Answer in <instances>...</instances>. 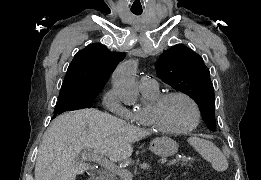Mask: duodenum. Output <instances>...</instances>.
<instances>
[{
  "mask_svg": "<svg viewBox=\"0 0 261 180\" xmlns=\"http://www.w3.org/2000/svg\"><path fill=\"white\" fill-rule=\"evenodd\" d=\"M89 180H104V177H89Z\"/></svg>",
  "mask_w": 261,
  "mask_h": 180,
  "instance_id": "410a0bca",
  "label": "duodenum"
}]
</instances>
